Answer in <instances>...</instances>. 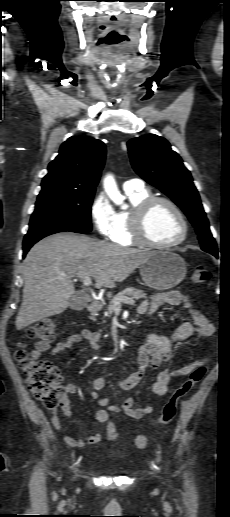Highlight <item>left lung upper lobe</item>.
Instances as JSON below:
<instances>
[{
  "label": "left lung upper lobe",
  "mask_w": 230,
  "mask_h": 517,
  "mask_svg": "<svg viewBox=\"0 0 230 517\" xmlns=\"http://www.w3.org/2000/svg\"><path fill=\"white\" fill-rule=\"evenodd\" d=\"M127 146L136 173L169 196L184 211L195 227L202 250L212 255L218 253L190 171L171 149L169 142L163 137L147 134L131 139Z\"/></svg>",
  "instance_id": "obj_1"
}]
</instances>
